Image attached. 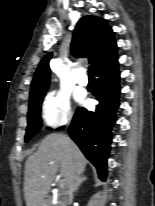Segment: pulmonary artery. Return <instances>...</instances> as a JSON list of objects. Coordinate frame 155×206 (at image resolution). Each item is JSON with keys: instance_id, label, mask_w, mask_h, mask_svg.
Returning <instances> with one entry per match:
<instances>
[{"instance_id": "pulmonary-artery-1", "label": "pulmonary artery", "mask_w": 155, "mask_h": 206, "mask_svg": "<svg viewBox=\"0 0 155 206\" xmlns=\"http://www.w3.org/2000/svg\"><path fill=\"white\" fill-rule=\"evenodd\" d=\"M86 70L84 68L80 69L78 77H77V82L78 84L82 86H86L88 84V77L86 76Z\"/></svg>"}]
</instances>
